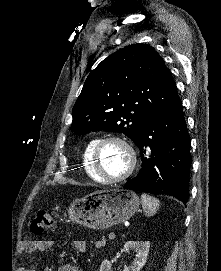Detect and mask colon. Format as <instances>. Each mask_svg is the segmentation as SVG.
<instances>
[{"label": "colon", "instance_id": "1", "mask_svg": "<svg viewBox=\"0 0 221 271\" xmlns=\"http://www.w3.org/2000/svg\"><path fill=\"white\" fill-rule=\"evenodd\" d=\"M57 216L47 210H40L37 217L30 226L31 234H43L46 231H53L56 227Z\"/></svg>", "mask_w": 221, "mask_h": 271}]
</instances>
